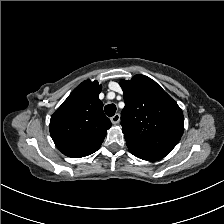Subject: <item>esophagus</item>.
<instances>
[{
  "instance_id": "obj_1",
  "label": "esophagus",
  "mask_w": 224,
  "mask_h": 224,
  "mask_svg": "<svg viewBox=\"0 0 224 224\" xmlns=\"http://www.w3.org/2000/svg\"><path fill=\"white\" fill-rule=\"evenodd\" d=\"M110 120L112 124H118L120 121V115L118 113L114 114L112 117H110Z\"/></svg>"
}]
</instances>
